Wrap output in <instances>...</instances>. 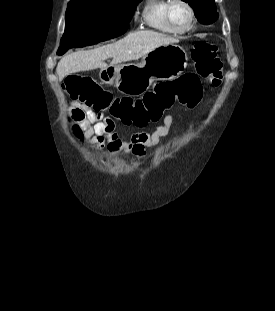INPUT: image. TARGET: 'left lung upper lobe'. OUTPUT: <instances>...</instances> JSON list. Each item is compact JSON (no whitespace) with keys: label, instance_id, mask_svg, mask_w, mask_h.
I'll return each mask as SVG.
<instances>
[{"label":"left lung upper lobe","instance_id":"1","mask_svg":"<svg viewBox=\"0 0 275 311\" xmlns=\"http://www.w3.org/2000/svg\"><path fill=\"white\" fill-rule=\"evenodd\" d=\"M195 11V16L202 24H211L218 18L214 0H183Z\"/></svg>","mask_w":275,"mask_h":311}]
</instances>
